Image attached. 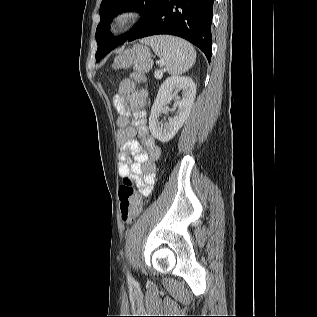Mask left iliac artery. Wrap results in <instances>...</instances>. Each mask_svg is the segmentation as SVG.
<instances>
[{
  "instance_id": "44dca946",
  "label": "left iliac artery",
  "mask_w": 317,
  "mask_h": 317,
  "mask_svg": "<svg viewBox=\"0 0 317 317\" xmlns=\"http://www.w3.org/2000/svg\"><path fill=\"white\" fill-rule=\"evenodd\" d=\"M127 275H128V278H130V279H131V276H130V274H129V273H127Z\"/></svg>"
}]
</instances>
